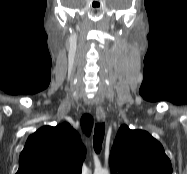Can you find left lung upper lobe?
Returning <instances> with one entry per match:
<instances>
[{
	"label": "left lung upper lobe",
	"mask_w": 187,
	"mask_h": 174,
	"mask_svg": "<svg viewBox=\"0 0 187 174\" xmlns=\"http://www.w3.org/2000/svg\"><path fill=\"white\" fill-rule=\"evenodd\" d=\"M112 174H172L163 146L148 132L122 125L110 154Z\"/></svg>",
	"instance_id": "1"
}]
</instances>
